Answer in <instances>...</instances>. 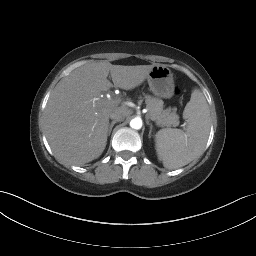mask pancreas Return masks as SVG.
<instances>
[{"label":"pancreas","mask_w":256,"mask_h":256,"mask_svg":"<svg viewBox=\"0 0 256 256\" xmlns=\"http://www.w3.org/2000/svg\"><path fill=\"white\" fill-rule=\"evenodd\" d=\"M146 107L148 113L146 117L155 121L159 127H176L179 125V116L172 108L164 109V102L155 97L147 96Z\"/></svg>","instance_id":"cf45deb5"}]
</instances>
